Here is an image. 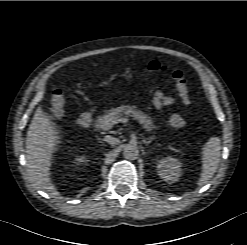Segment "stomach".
I'll return each mask as SVG.
<instances>
[{
  "instance_id": "0dacf381",
  "label": "stomach",
  "mask_w": 247,
  "mask_h": 245,
  "mask_svg": "<svg viewBox=\"0 0 247 245\" xmlns=\"http://www.w3.org/2000/svg\"><path fill=\"white\" fill-rule=\"evenodd\" d=\"M125 80L131 81L133 79V76L131 74L125 75Z\"/></svg>"
}]
</instances>
